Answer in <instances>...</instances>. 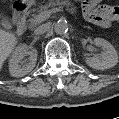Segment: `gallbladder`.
I'll use <instances>...</instances> for the list:
<instances>
[{
    "instance_id": "obj_1",
    "label": "gallbladder",
    "mask_w": 119,
    "mask_h": 119,
    "mask_svg": "<svg viewBox=\"0 0 119 119\" xmlns=\"http://www.w3.org/2000/svg\"><path fill=\"white\" fill-rule=\"evenodd\" d=\"M0 23L6 29L11 27V22L8 19H2L0 20Z\"/></svg>"
}]
</instances>
